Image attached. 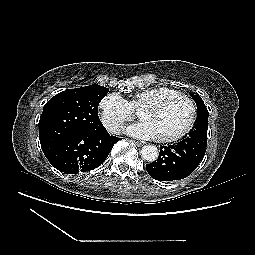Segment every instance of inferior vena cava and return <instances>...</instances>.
<instances>
[{"label":"inferior vena cava","mask_w":255,"mask_h":255,"mask_svg":"<svg viewBox=\"0 0 255 255\" xmlns=\"http://www.w3.org/2000/svg\"><path fill=\"white\" fill-rule=\"evenodd\" d=\"M114 130L116 133H120V129L118 127H116Z\"/></svg>","instance_id":"obj_1"}]
</instances>
